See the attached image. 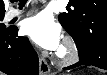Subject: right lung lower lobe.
I'll use <instances>...</instances> for the list:
<instances>
[{"label":"right lung lower lobe","instance_id":"right-lung-lower-lobe-1","mask_svg":"<svg viewBox=\"0 0 107 75\" xmlns=\"http://www.w3.org/2000/svg\"><path fill=\"white\" fill-rule=\"evenodd\" d=\"M12 27L0 34V71L8 75H38V56L29 40Z\"/></svg>","mask_w":107,"mask_h":75}]
</instances>
